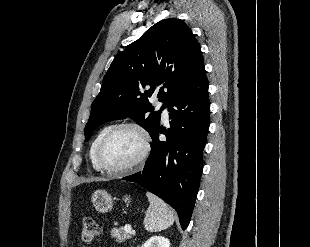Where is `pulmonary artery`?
Returning <instances> with one entry per match:
<instances>
[{
	"label": "pulmonary artery",
	"mask_w": 310,
	"mask_h": 247,
	"mask_svg": "<svg viewBox=\"0 0 310 247\" xmlns=\"http://www.w3.org/2000/svg\"><path fill=\"white\" fill-rule=\"evenodd\" d=\"M157 106L159 108H162V118H163V120L165 122H167L168 119H169V109H168V107L163 102H158Z\"/></svg>",
	"instance_id": "1"
}]
</instances>
